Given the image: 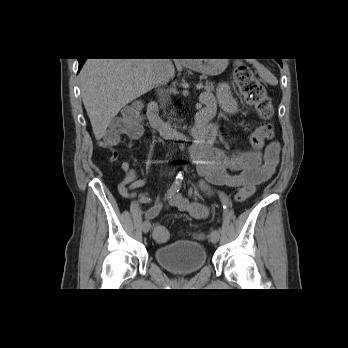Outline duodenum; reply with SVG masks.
Listing matches in <instances>:
<instances>
[{"instance_id":"410a0bca","label":"duodenum","mask_w":348,"mask_h":348,"mask_svg":"<svg viewBox=\"0 0 348 348\" xmlns=\"http://www.w3.org/2000/svg\"><path fill=\"white\" fill-rule=\"evenodd\" d=\"M215 108L203 107L196 116V124L190 133H184L174 129L164 122L159 116V105L152 101L147 106L149 124L156 129L163 137L169 139L192 140L195 142L193 148L205 150L211 142L213 135L210 130L211 119L214 116Z\"/></svg>"}]
</instances>
